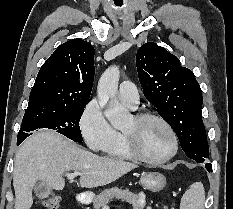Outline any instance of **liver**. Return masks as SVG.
<instances>
[{"label": "liver", "mask_w": 233, "mask_h": 209, "mask_svg": "<svg viewBox=\"0 0 233 209\" xmlns=\"http://www.w3.org/2000/svg\"><path fill=\"white\" fill-rule=\"evenodd\" d=\"M137 168L136 164L93 154L53 131L33 134L20 146L13 172L14 209H30L32 189L42 181L62 190L65 172H80L81 187L94 188L114 182Z\"/></svg>", "instance_id": "1"}]
</instances>
